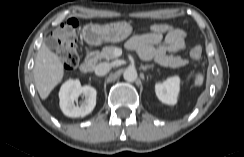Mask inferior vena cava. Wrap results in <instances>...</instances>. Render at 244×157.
<instances>
[{"instance_id": "1", "label": "inferior vena cava", "mask_w": 244, "mask_h": 157, "mask_svg": "<svg viewBox=\"0 0 244 157\" xmlns=\"http://www.w3.org/2000/svg\"><path fill=\"white\" fill-rule=\"evenodd\" d=\"M110 69H111V65L109 63L102 62L95 67V74L97 76H104L110 71Z\"/></svg>"}]
</instances>
